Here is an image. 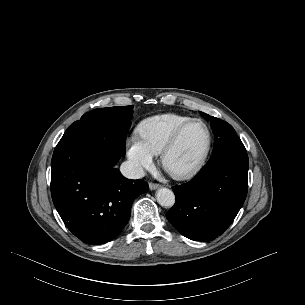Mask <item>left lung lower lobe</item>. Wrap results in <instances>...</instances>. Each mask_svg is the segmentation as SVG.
<instances>
[{
  "label": "left lung lower lobe",
  "mask_w": 305,
  "mask_h": 305,
  "mask_svg": "<svg viewBox=\"0 0 305 305\" xmlns=\"http://www.w3.org/2000/svg\"><path fill=\"white\" fill-rule=\"evenodd\" d=\"M246 152H229L209 160L189 182L172 187L176 202L169 222L185 237L211 241L233 222L248 189Z\"/></svg>",
  "instance_id": "0a47b994"
}]
</instances>
